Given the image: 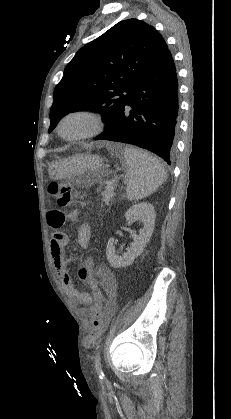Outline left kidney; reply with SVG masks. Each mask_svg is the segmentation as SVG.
<instances>
[{
  "instance_id": "1",
  "label": "left kidney",
  "mask_w": 231,
  "mask_h": 419,
  "mask_svg": "<svg viewBox=\"0 0 231 419\" xmlns=\"http://www.w3.org/2000/svg\"><path fill=\"white\" fill-rule=\"evenodd\" d=\"M126 221L132 224L136 219L141 218L143 221V228L139 230V234H133V242L127 251L122 256L115 254L116 239L110 238L106 247L107 259L110 266L113 268L126 267L130 265L136 257H138L144 250L150 237L152 236L156 213L152 204L139 203L127 210L125 213Z\"/></svg>"
}]
</instances>
